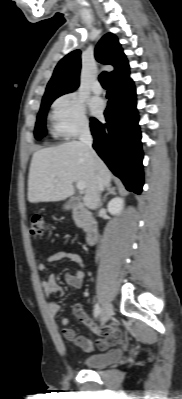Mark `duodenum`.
Returning <instances> with one entry per match:
<instances>
[{
	"instance_id": "1",
	"label": "duodenum",
	"mask_w": 182,
	"mask_h": 399,
	"mask_svg": "<svg viewBox=\"0 0 182 399\" xmlns=\"http://www.w3.org/2000/svg\"><path fill=\"white\" fill-rule=\"evenodd\" d=\"M75 213L84 225L86 245L93 246L97 242L99 235L97 222L82 205L75 207Z\"/></svg>"
}]
</instances>
